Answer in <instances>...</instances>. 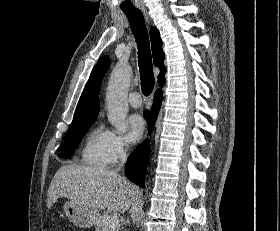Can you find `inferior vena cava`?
<instances>
[{
  "mask_svg": "<svg viewBox=\"0 0 280 231\" xmlns=\"http://www.w3.org/2000/svg\"><path fill=\"white\" fill-rule=\"evenodd\" d=\"M126 159H127V155L124 149H120V161H122V165L123 163H125Z\"/></svg>",
  "mask_w": 280,
  "mask_h": 231,
  "instance_id": "1",
  "label": "inferior vena cava"
}]
</instances>
